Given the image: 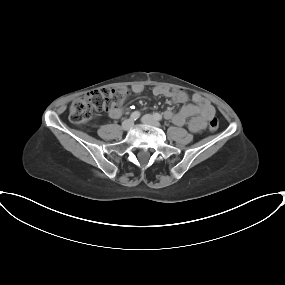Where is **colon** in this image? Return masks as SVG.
Wrapping results in <instances>:
<instances>
[{
  "label": "colon",
  "instance_id": "1",
  "mask_svg": "<svg viewBox=\"0 0 285 285\" xmlns=\"http://www.w3.org/2000/svg\"><path fill=\"white\" fill-rule=\"evenodd\" d=\"M126 93L122 89L102 88L91 91L75 100L69 108V119L75 125H85L94 114L110 110L114 106L122 104ZM219 128V120L213 117L209 120V129L216 131Z\"/></svg>",
  "mask_w": 285,
  "mask_h": 285
}]
</instances>
